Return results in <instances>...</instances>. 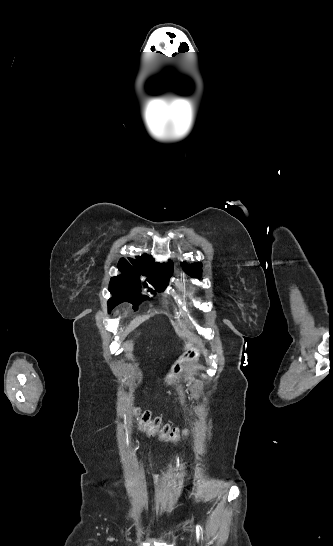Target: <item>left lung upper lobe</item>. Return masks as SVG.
Returning a JSON list of instances; mask_svg holds the SVG:
<instances>
[{
    "label": "left lung upper lobe",
    "instance_id": "left-lung-upper-lobe-1",
    "mask_svg": "<svg viewBox=\"0 0 333 546\" xmlns=\"http://www.w3.org/2000/svg\"><path fill=\"white\" fill-rule=\"evenodd\" d=\"M202 264L199 262V263H196V264H192V265H187V264H184L183 263V269L191 276V277H197L199 278L201 276V273H202Z\"/></svg>",
    "mask_w": 333,
    "mask_h": 546
}]
</instances>
